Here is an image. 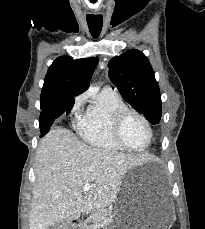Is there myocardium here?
Returning <instances> with one entry per match:
<instances>
[{
    "instance_id": "obj_1",
    "label": "myocardium",
    "mask_w": 205,
    "mask_h": 229,
    "mask_svg": "<svg viewBox=\"0 0 205 229\" xmlns=\"http://www.w3.org/2000/svg\"><path fill=\"white\" fill-rule=\"evenodd\" d=\"M129 116L137 117L145 125V127L148 131L147 144L142 148L137 149V148H133V147L129 146L123 138V135H122L123 125ZM113 135H114L116 141L124 149L132 151V152H137V153L146 151L150 147L152 140H153V130H152V127H151L149 121L141 113H139L138 111H136L134 109L128 108V107L120 109L116 112L114 119H113Z\"/></svg>"
}]
</instances>
